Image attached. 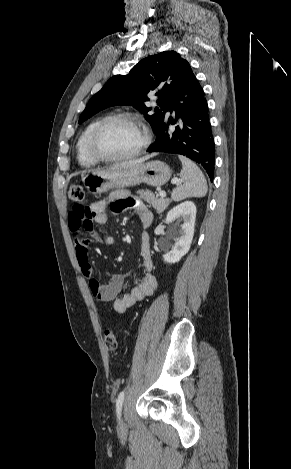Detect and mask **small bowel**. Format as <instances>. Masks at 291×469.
<instances>
[{
  "instance_id": "c3829d8e",
  "label": "small bowel",
  "mask_w": 291,
  "mask_h": 469,
  "mask_svg": "<svg viewBox=\"0 0 291 469\" xmlns=\"http://www.w3.org/2000/svg\"><path fill=\"white\" fill-rule=\"evenodd\" d=\"M112 212L119 213L127 210H135L143 229L140 243V257L142 259V274L122 275L119 273H106L103 282L93 276V270L89 261V250L94 244L102 243L112 245L115 238L107 234L103 239L89 240L84 233L91 232L94 224L107 225V206ZM152 222V214L148 208L131 197L126 191L117 190L109 194L106 199L92 203L85 213L77 211L76 207L68 215V226L74 235L76 258L82 275L87 279L89 289L94 297L100 301H111L113 309L118 314L125 313L128 308L145 297L154 294L158 282L151 273L152 261L150 257V241L146 229ZM133 278V286L128 293L120 295L125 277Z\"/></svg>"
}]
</instances>
